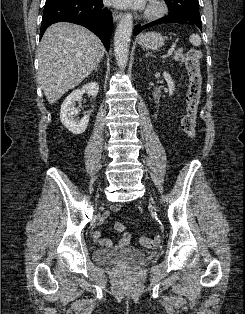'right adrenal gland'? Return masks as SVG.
<instances>
[{"instance_id":"right-adrenal-gland-1","label":"right adrenal gland","mask_w":245,"mask_h":314,"mask_svg":"<svg viewBox=\"0 0 245 314\" xmlns=\"http://www.w3.org/2000/svg\"><path fill=\"white\" fill-rule=\"evenodd\" d=\"M97 67H98V65H97V66L95 67V69H94V71H95V72H97V71H98V70H97Z\"/></svg>"}]
</instances>
